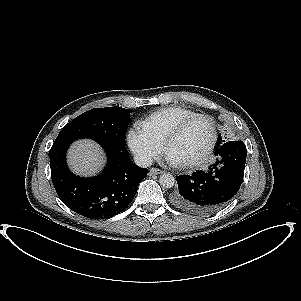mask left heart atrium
I'll list each match as a JSON object with an SVG mask.
<instances>
[{
  "instance_id": "obj_1",
  "label": "left heart atrium",
  "mask_w": 301,
  "mask_h": 301,
  "mask_svg": "<svg viewBox=\"0 0 301 301\" xmlns=\"http://www.w3.org/2000/svg\"><path fill=\"white\" fill-rule=\"evenodd\" d=\"M165 159L167 163L170 164L171 166L181 167L185 165V162L183 160H181L180 158H178L177 156L169 152H167Z\"/></svg>"
}]
</instances>
